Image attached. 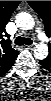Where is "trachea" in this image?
<instances>
[{"label": "trachea", "instance_id": "obj_1", "mask_svg": "<svg viewBox=\"0 0 51 101\" xmlns=\"http://www.w3.org/2000/svg\"><path fill=\"white\" fill-rule=\"evenodd\" d=\"M15 44L16 45H23V44H26V45H31L32 44V40L30 38H24V37H17L15 39Z\"/></svg>", "mask_w": 51, "mask_h": 101}]
</instances>
